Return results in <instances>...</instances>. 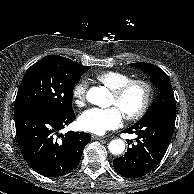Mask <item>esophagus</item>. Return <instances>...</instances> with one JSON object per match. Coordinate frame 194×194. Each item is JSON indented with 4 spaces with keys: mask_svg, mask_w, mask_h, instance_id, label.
I'll list each match as a JSON object with an SVG mask.
<instances>
[{
    "mask_svg": "<svg viewBox=\"0 0 194 194\" xmlns=\"http://www.w3.org/2000/svg\"><path fill=\"white\" fill-rule=\"evenodd\" d=\"M104 138H105L104 136H98V135H94V134L91 135L92 140H101V139H104Z\"/></svg>",
    "mask_w": 194,
    "mask_h": 194,
    "instance_id": "34e87169",
    "label": "esophagus"
}]
</instances>
